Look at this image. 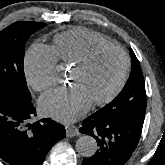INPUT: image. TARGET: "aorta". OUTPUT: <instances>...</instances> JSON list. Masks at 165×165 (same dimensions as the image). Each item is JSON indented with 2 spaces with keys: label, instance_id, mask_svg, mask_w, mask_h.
<instances>
[{
  "label": "aorta",
  "instance_id": "obj_1",
  "mask_svg": "<svg viewBox=\"0 0 165 165\" xmlns=\"http://www.w3.org/2000/svg\"><path fill=\"white\" fill-rule=\"evenodd\" d=\"M97 150V142L90 135L80 136L76 141V151L84 157H91Z\"/></svg>",
  "mask_w": 165,
  "mask_h": 165
}]
</instances>
